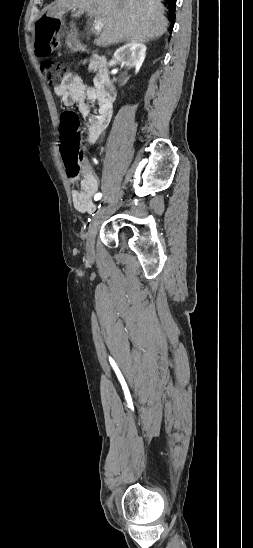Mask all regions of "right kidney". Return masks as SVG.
Masks as SVG:
<instances>
[{
  "label": "right kidney",
  "mask_w": 253,
  "mask_h": 548,
  "mask_svg": "<svg viewBox=\"0 0 253 548\" xmlns=\"http://www.w3.org/2000/svg\"><path fill=\"white\" fill-rule=\"evenodd\" d=\"M146 46L141 42L131 41L114 53V59L128 68L134 67L137 73L145 59Z\"/></svg>",
  "instance_id": "obj_1"
}]
</instances>
